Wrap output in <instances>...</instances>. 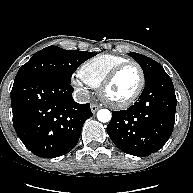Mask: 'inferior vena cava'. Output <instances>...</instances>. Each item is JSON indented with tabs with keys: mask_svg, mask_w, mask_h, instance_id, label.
Returning <instances> with one entry per match:
<instances>
[{
	"mask_svg": "<svg viewBox=\"0 0 193 193\" xmlns=\"http://www.w3.org/2000/svg\"><path fill=\"white\" fill-rule=\"evenodd\" d=\"M73 98L78 103H88L90 95L88 92L79 90L74 92Z\"/></svg>",
	"mask_w": 193,
	"mask_h": 193,
	"instance_id": "obj_1",
	"label": "inferior vena cava"
}]
</instances>
